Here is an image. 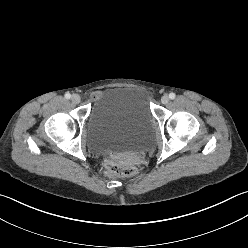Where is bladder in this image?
I'll use <instances>...</instances> for the list:
<instances>
[{
	"label": "bladder",
	"instance_id": "1",
	"mask_svg": "<svg viewBox=\"0 0 248 248\" xmlns=\"http://www.w3.org/2000/svg\"><path fill=\"white\" fill-rule=\"evenodd\" d=\"M154 117L146 93L134 87L107 90L87 121L90 149L111 156L135 155L150 141Z\"/></svg>",
	"mask_w": 248,
	"mask_h": 248
}]
</instances>
